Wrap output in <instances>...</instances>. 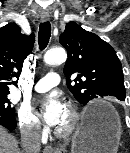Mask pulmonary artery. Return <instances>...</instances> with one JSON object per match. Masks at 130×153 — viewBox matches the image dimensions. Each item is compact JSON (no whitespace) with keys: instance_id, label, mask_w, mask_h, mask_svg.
Wrapping results in <instances>:
<instances>
[{"instance_id":"e3ab8cb5","label":"pulmonary artery","mask_w":130,"mask_h":153,"mask_svg":"<svg viewBox=\"0 0 130 153\" xmlns=\"http://www.w3.org/2000/svg\"><path fill=\"white\" fill-rule=\"evenodd\" d=\"M60 83V76L57 73L50 72L34 85L36 92H45Z\"/></svg>"}]
</instances>
